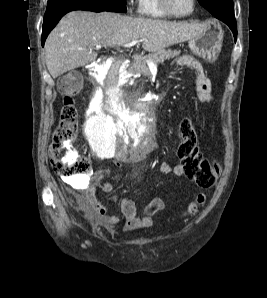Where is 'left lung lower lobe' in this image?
Listing matches in <instances>:
<instances>
[{
  "instance_id": "0a47b994",
  "label": "left lung lower lobe",
  "mask_w": 267,
  "mask_h": 298,
  "mask_svg": "<svg viewBox=\"0 0 267 298\" xmlns=\"http://www.w3.org/2000/svg\"><path fill=\"white\" fill-rule=\"evenodd\" d=\"M221 21L226 23L229 28L232 30L235 40L237 38V25L234 15L222 17Z\"/></svg>"
}]
</instances>
